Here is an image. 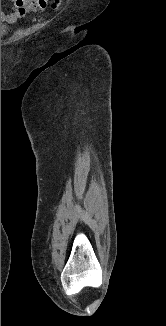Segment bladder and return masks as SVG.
<instances>
[{
  "instance_id": "bladder-1",
  "label": "bladder",
  "mask_w": 166,
  "mask_h": 326,
  "mask_svg": "<svg viewBox=\"0 0 166 326\" xmlns=\"http://www.w3.org/2000/svg\"><path fill=\"white\" fill-rule=\"evenodd\" d=\"M8 30V26L5 23L1 22V36L5 35Z\"/></svg>"
}]
</instances>
